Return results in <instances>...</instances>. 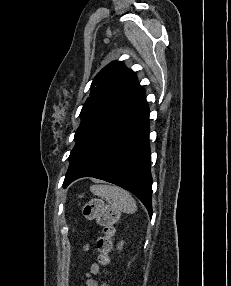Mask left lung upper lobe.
I'll return each mask as SVG.
<instances>
[{"label": "left lung upper lobe", "instance_id": "5c2ea615", "mask_svg": "<svg viewBox=\"0 0 231 286\" xmlns=\"http://www.w3.org/2000/svg\"><path fill=\"white\" fill-rule=\"evenodd\" d=\"M91 87L90 97L80 113L81 123L75 133V146L91 128L141 86L134 72L127 69L122 62L115 61L96 75Z\"/></svg>", "mask_w": 231, "mask_h": 286}]
</instances>
